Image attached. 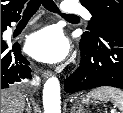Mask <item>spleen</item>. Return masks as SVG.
<instances>
[{"label": "spleen", "instance_id": "3e777b00", "mask_svg": "<svg viewBox=\"0 0 123 113\" xmlns=\"http://www.w3.org/2000/svg\"><path fill=\"white\" fill-rule=\"evenodd\" d=\"M88 98L100 101L111 100L115 106L123 113V91L113 87H100L87 94Z\"/></svg>", "mask_w": 123, "mask_h": 113}]
</instances>
